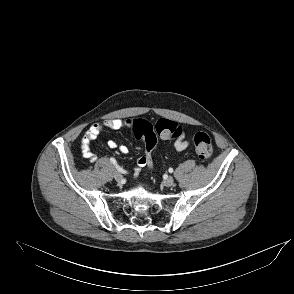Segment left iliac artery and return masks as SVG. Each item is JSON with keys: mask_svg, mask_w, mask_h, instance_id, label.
<instances>
[{"mask_svg": "<svg viewBox=\"0 0 294 294\" xmlns=\"http://www.w3.org/2000/svg\"><path fill=\"white\" fill-rule=\"evenodd\" d=\"M168 172L172 173L173 172V167H168Z\"/></svg>", "mask_w": 294, "mask_h": 294, "instance_id": "44dca946", "label": "left iliac artery"}]
</instances>
